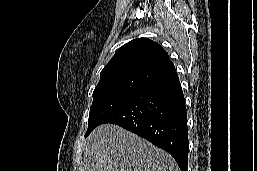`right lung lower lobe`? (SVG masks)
Listing matches in <instances>:
<instances>
[{
  "instance_id": "1",
  "label": "right lung lower lobe",
  "mask_w": 257,
  "mask_h": 171,
  "mask_svg": "<svg viewBox=\"0 0 257 171\" xmlns=\"http://www.w3.org/2000/svg\"><path fill=\"white\" fill-rule=\"evenodd\" d=\"M169 152L188 171L185 99L177 73L142 91L106 118Z\"/></svg>"
}]
</instances>
